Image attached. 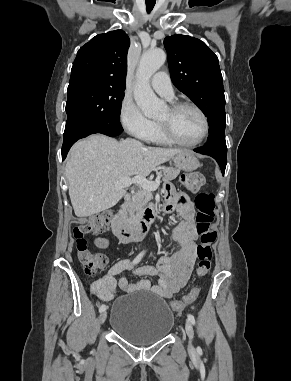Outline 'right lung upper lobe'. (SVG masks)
<instances>
[{
    "label": "right lung upper lobe",
    "instance_id": "1",
    "mask_svg": "<svg viewBox=\"0 0 291 381\" xmlns=\"http://www.w3.org/2000/svg\"><path fill=\"white\" fill-rule=\"evenodd\" d=\"M129 46V37L122 30L95 36L78 50L69 84L125 87Z\"/></svg>",
    "mask_w": 291,
    "mask_h": 381
}]
</instances>
